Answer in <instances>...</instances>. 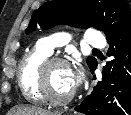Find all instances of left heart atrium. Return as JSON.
<instances>
[{
	"mask_svg": "<svg viewBox=\"0 0 131 115\" xmlns=\"http://www.w3.org/2000/svg\"><path fill=\"white\" fill-rule=\"evenodd\" d=\"M77 81L78 75L75 72H70V82L73 87L77 84Z\"/></svg>",
	"mask_w": 131,
	"mask_h": 115,
	"instance_id": "39dd6f15",
	"label": "left heart atrium"
}]
</instances>
